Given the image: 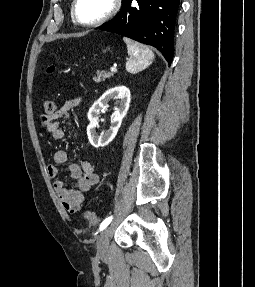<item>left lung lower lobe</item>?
I'll return each mask as SVG.
<instances>
[{"instance_id":"0a47b994","label":"left lung lower lobe","mask_w":255,"mask_h":287,"mask_svg":"<svg viewBox=\"0 0 255 287\" xmlns=\"http://www.w3.org/2000/svg\"><path fill=\"white\" fill-rule=\"evenodd\" d=\"M179 7L180 0H122L118 15L98 29L151 45L170 65Z\"/></svg>"}]
</instances>
